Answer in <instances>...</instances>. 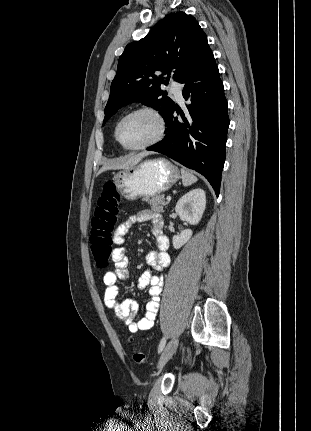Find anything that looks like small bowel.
Wrapping results in <instances>:
<instances>
[{
  "mask_svg": "<svg viewBox=\"0 0 311 431\" xmlns=\"http://www.w3.org/2000/svg\"><path fill=\"white\" fill-rule=\"evenodd\" d=\"M145 221H151V233L155 239L157 250L148 253L146 261L149 269L138 280V287L140 289L149 287L151 299L147 303L145 316L137 319V303L131 299L120 300L118 298L119 286L117 282L120 279H127L129 276L124 237L132 226ZM163 226V218L159 213L149 209H142L136 214L127 217L119 225L114 234L116 247L112 258L115 270L109 271L104 275V283L106 285L104 301L106 306L113 312L115 318L124 323L131 333L151 329L159 312L163 283L162 278L153 274V272H161L170 264V256L168 254L169 239L164 234Z\"/></svg>",
  "mask_w": 311,
  "mask_h": 431,
  "instance_id": "obj_1",
  "label": "small bowel"
}]
</instances>
